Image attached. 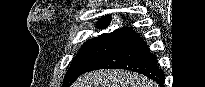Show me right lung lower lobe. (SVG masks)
I'll list each match as a JSON object with an SVG mask.
<instances>
[{
	"label": "right lung lower lobe",
	"mask_w": 205,
	"mask_h": 87,
	"mask_svg": "<svg viewBox=\"0 0 205 87\" xmlns=\"http://www.w3.org/2000/svg\"><path fill=\"white\" fill-rule=\"evenodd\" d=\"M107 68L131 70L153 79L160 86L164 84L165 75L158 68L156 57L137 34L94 63L87 71Z\"/></svg>",
	"instance_id": "obj_1"
}]
</instances>
